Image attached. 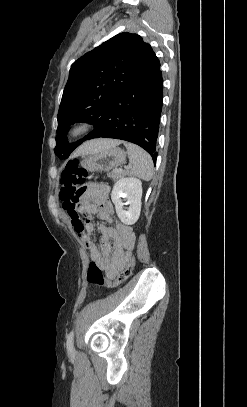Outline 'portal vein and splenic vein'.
I'll list each match as a JSON object with an SVG mask.
<instances>
[{
	"label": "portal vein and splenic vein",
	"instance_id": "18ae733b",
	"mask_svg": "<svg viewBox=\"0 0 247 407\" xmlns=\"http://www.w3.org/2000/svg\"><path fill=\"white\" fill-rule=\"evenodd\" d=\"M126 168H127V169H129V168H130V166H127Z\"/></svg>",
	"mask_w": 247,
	"mask_h": 407
}]
</instances>
